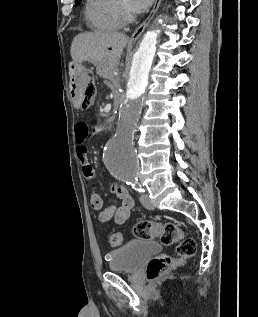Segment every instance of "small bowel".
<instances>
[{"label":"small bowel","instance_id":"c3829d8e","mask_svg":"<svg viewBox=\"0 0 258 317\" xmlns=\"http://www.w3.org/2000/svg\"><path fill=\"white\" fill-rule=\"evenodd\" d=\"M98 129L99 128H94L95 131ZM88 135V124L83 121L77 122L75 125L76 155L81 162L83 176L87 180H92L95 177V171L88 160L87 147L85 145ZM109 190L120 199L119 205L105 206L103 198L99 193L94 191L90 199L91 206L93 209L100 211L99 221L101 223L115 222L117 224H123L130 217L131 210L134 207V200L122 185L112 183L109 185Z\"/></svg>","mask_w":258,"mask_h":317}]
</instances>
